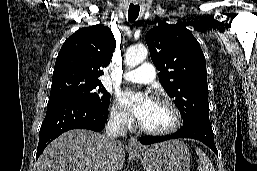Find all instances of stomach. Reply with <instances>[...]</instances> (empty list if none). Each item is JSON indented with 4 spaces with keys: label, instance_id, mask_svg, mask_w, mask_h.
<instances>
[{
    "label": "stomach",
    "instance_id": "0dacf381",
    "mask_svg": "<svg viewBox=\"0 0 257 171\" xmlns=\"http://www.w3.org/2000/svg\"><path fill=\"white\" fill-rule=\"evenodd\" d=\"M145 171H190V154L180 140L154 144L145 152L134 151Z\"/></svg>",
    "mask_w": 257,
    "mask_h": 171
}]
</instances>
